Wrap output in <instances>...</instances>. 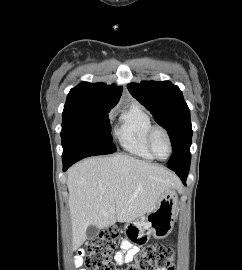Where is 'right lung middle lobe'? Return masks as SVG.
<instances>
[{"label":"right lung middle lobe","mask_w":242,"mask_h":270,"mask_svg":"<svg viewBox=\"0 0 242 270\" xmlns=\"http://www.w3.org/2000/svg\"><path fill=\"white\" fill-rule=\"evenodd\" d=\"M110 109L63 111V162H77L85 157L116 151L110 136Z\"/></svg>","instance_id":"1"}]
</instances>
